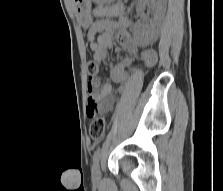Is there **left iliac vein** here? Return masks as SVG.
Returning a JSON list of instances; mask_svg holds the SVG:
<instances>
[{"mask_svg":"<svg viewBox=\"0 0 223 191\" xmlns=\"http://www.w3.org/2000/svg\"><path fill=\"white\" fill-rule=\"evenodd\" d=\"M101 178L100 166L99 163H94L92 167V179L97 182Z\"/></svg>","mask_w":223,"mask_h":191,"instance_id":"1","label":"left iliac vein"}]
</instances>
